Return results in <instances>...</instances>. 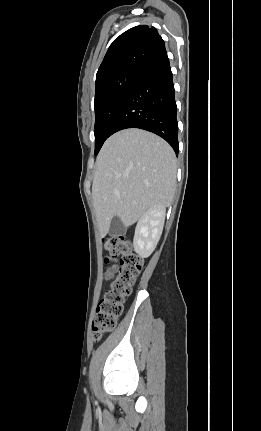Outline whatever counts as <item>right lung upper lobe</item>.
I'll use <instances>...</instances> for the list:
<instances>
[{
    "instance_id": "1",
    "label": "right lung upper lobe",
    "mask_w": 261,
    "mask_h": 431,
    "mask_svg": "<svg viewBox=\"0 0 261 431\" xmlns=\"http://www.w3.org/2000/svg\"><path fill=\"white\" fill-rule=\"evenodd\" d=\"M165 52L155 28L140 25L127 30L110 45L96 74V87L123 72L140 71Z\"/></svg>"
}]
</instances>
